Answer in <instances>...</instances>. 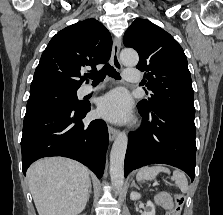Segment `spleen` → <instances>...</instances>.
<instances>
[{"label": "spleen", "instance_id": "3e777b00", "mask_svg": "<svg viewBox=\"0 0 223 215\" xmlns=\"http://www.w3.org/2000/svg\"><path fill=\"white\" fill-rule=\"evenodd\" d=\"M159 171H166V173H170V169H168V167H162L160 163L159 165H152V167H141L137 173V181H142V179H155ZM172 179H174L181 191H184V193L187 191L188 181L183 171H178V169L173 171Z\"/></svg>", "mask_w": 223, "mask_h": 215}]
</instances>
